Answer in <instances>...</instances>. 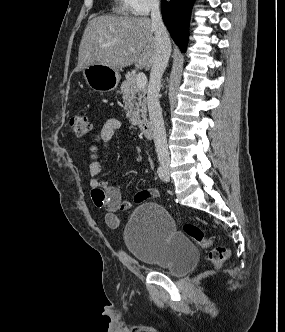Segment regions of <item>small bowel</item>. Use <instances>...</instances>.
<instances>
[{
	"label": "small bowel",
	"instance_id": "1",
	"mask_svg": "<svg viewBox=\"0 0 285 332\" xmlns=\"http://www.w3.org/2000/svg\"><path fill=\"white\" fill-rule=\"evenodd\" d=\"M121 129V121L117 118H108L100 128L97 139L107 146L111 142L115 133ZM102 169V159L95 153H92L89 163L91 198L95 206L104 208L107 212L106 222L110 227L117 228L120 219L117 211H127L131 208V202L122 198L118 188L109 186L106 181L100 180L98 175ZM157 188H149L137 192L134 201L138 204L143 203L158 195Z\"/></svg>",
	"mask_w": 285,
	"mask_h": 332
}]
</instances>
